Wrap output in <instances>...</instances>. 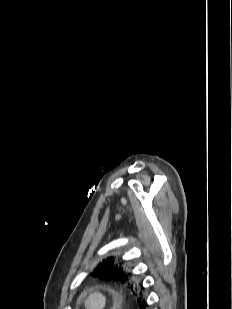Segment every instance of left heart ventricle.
Listing matches in <instances>:
<instances>
[{
    "label": "left heart ventricle",
    "instance_id": "b2bd125f",
    "mask_svg": "<svg viewBox=\"0 0 232 309\" xmlns=\"http://www.w3.org/2000/svg\"><path fill=\"white\" fill-rule=\"evenodd\" d=\"M90 305H91L92 307H97V306H98V301H97V300H92L91 303H90ZM93 309H94V308H93Z\"/></svg>",
    "mask_w": 232,
    "mask_h": 309
}]
</instances>
